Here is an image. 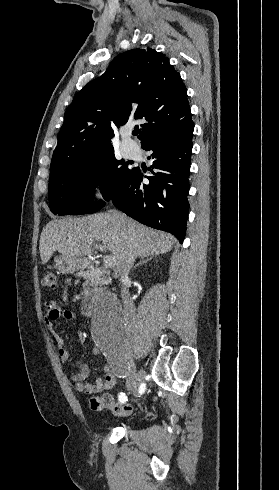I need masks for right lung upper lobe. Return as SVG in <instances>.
Returning a JSON list of instances; mask_svg holds the SVG:
<instances>
[{
    "instance_id": "1",
    "label": "right lung upper lobe",
    "mask_w": 279,
    "mask_h": 490,
    "mask_svg": "<svg viewBox=\"0 0 279 490\" xmlns=\"http://www.w3.org/2000/svg\"><path fill=\"white\" fill-rule=\"evenodd\" d=\"M134 120L147 121L138 136L141 145L193 123L180 74L152 48L118 55L101 77L76 94L66 110L50 178L113 149L111 125Z\"/></svg>"
}]
</instances>
